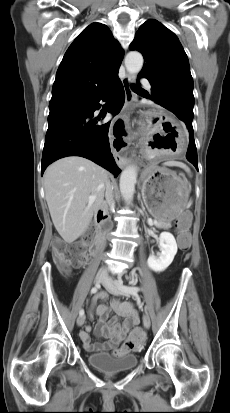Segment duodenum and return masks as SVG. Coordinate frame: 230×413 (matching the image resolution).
Instances as JSON below:
<instances>
[{
  "instance_id": "1",
  "label": "duodenum",
  "mask_w": 230,
  "mask_h": 413,
  "mask_svg": "<svg viewBox=\"0 0 230 413\" xmlns=\"http://www.w3.org/2000/svg\"><path fill=\"white\" fill-rule=\"evenodd\" d=\"M108 221V211L106 208L101 207L98 209L96 212V222L99 226H104ZM97 240H100V237L97 238ZM93 249H95V246H93Z\"/></svg>"
}]
</instances>
